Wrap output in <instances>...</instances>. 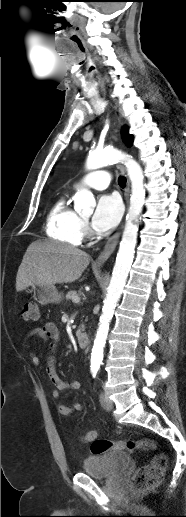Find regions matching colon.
<instances>
[{"mask_svg":"<svg viewBox=\"0 0 186 517\" xmlns=\"http://www.w3.org/2000/svg\"><path fill=\"white\" fill-rule=\"evenodd\" d=\"M21 316L27 321L39 319V306L35 301L25 302ZM92 454L99 455L110 450H122L133 452L135 450H155L154 441L146 438L126 441H110L91 436L89 439ZM167 468V458L164 454L156 455L149 464L140 468L134 475L132 487L136 492H142L155 488L162 480Z\"/></svg>","mask_w":186,"mask_h":517,"instance_id":"colon-1","label":"colon"}]
</instances>
